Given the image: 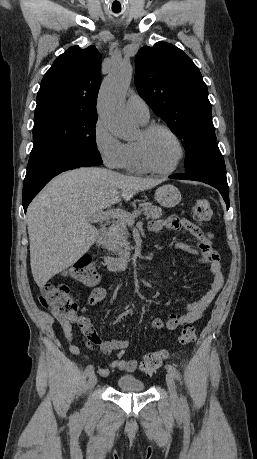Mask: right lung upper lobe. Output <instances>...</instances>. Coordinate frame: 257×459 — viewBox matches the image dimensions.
I'll return each instance as SVG.
<instances>
[{
	"label": "right lung upper lobe",
	"instance_id": "right-lung-upper-lobe-1",
	"mask_svg": "<svg viewBox=\"0 0 257 459\" xmlns=\"http://www.w3.org/2000/svg\"><path fill=\"white\" fill-rule=\"evenodd\" d=\"M101 62L95 46L76 45L61 54L42 79L35 112L70 109L97 115Z\"/></svg>",
	"mask_w": 257,
	"mask_h": 459
}]
</instances>
